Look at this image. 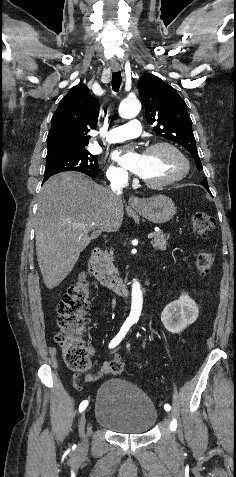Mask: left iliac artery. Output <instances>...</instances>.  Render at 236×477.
<instances>
[{
  "label": "left iliac artery",
  "mask_w": 236,
  "mask_h": 477,
  "mask_svg": "<svg viewBox=\"0 0 236 477\" xmlns=\"http://www.w3.org/2000/svg\"><path fill=\"white\" fill-rule=\"evenodd\" d=\"M127 348H129V344H127ZM164 409H165V410H166V409L171 410V406H170L169 404H165V405H164Z\"/></svg>",
  "instance_id": "1"
}]
</instances>
